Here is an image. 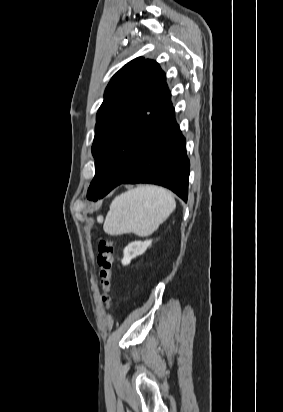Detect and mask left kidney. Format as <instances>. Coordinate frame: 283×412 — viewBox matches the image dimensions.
Wrapping results in <instances>:
<instances>
[{
  "instance_id": "left-kidney-1",
  "label": "left kidney",
  "mask_w": 283,
  "mask_h": 412,
  "mask_svg": "<svg viewBox=\"0 0 283 412\" xmlns=\"http://www.w3.org/2000/svg\"><path fill=\"white\" fill-rule=\"evenodd\" d=\"M152 240L134 241L129 243L123 251V259L121 260L124 266L130 264L131 260L139 255H142L149 246H151Z\"/></svg>"
}]
</instances>
